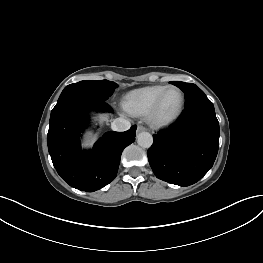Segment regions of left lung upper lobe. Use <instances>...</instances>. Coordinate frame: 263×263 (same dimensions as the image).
Instances as JSON below:
<instances>
[{
    "instance_id": "obj_1",
    "label": "left lung upper lobe",
    "mask_w": 263,
    "mask_h": 263,
    "mask_svg": "<svg viewBox=\"0 0 263 263\" xmlns=\"http://www.w3.org/2000/svg\"><path fill=\"white\" fill-rule=\"evenodd\" d=\"M170 83L179 87L184 92L186 99L185 106H189L200 100L208 99L204 92L195 84L180 81H172Z\"/></svg>"
}]
</instances>
